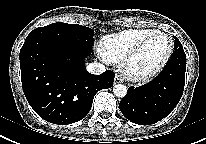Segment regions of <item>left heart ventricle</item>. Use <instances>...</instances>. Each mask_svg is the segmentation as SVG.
<instances>
[{
	"instance_id": "obj_1",
	"label": "left heart ventricle",
	"mask_w": 206,
	"mask_h": 144,
	"mask_svg": "<svg viewBox=\"0 0 206 144\" xmlns=\"http://www.w3.org/2000/svg\"><path fill=\"white\" fill-rule=\"evenodd\" d=\"M169 46V40L165 36L159 35L154 37L134 60L132 68L138 72L153 69L165 58Z\"/></svg>"
}]
</instances>
